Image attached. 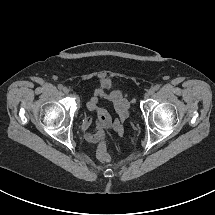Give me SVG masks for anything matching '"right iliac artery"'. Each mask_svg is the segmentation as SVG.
I'll return each instance as SVG.
<instances>
[{
  "label": "right iliac artery",
  "mask_w": 215,
  "mask_h": 215,
  "mask_svg": "<svg viewBox=\"0 0 215 215\" xmlns=\"http://www.w3.org/2000/svg\"><path fill=\"white\" fill-rule=\"evenodd\" d=\"M58 89H60V90L63 89V85H62V84H59V85H58Z\"/></svg>",
  "instance_id": "obj_1"
}]
</instances>
